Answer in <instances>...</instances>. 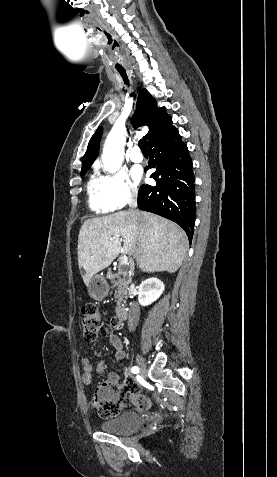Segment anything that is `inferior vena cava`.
Wrapping results in <instances>:
<instances>
[{"instance_id": "1", "label": "inferior vena cava", "mask_w": 277, "mask_h": 477, "mask_svg": "<svg viewBox=\"0 0 277 477\" xmlns=\"http://www.w3.org/2000/svg\"><path fill=\"white\" fill-rule=\"evenodd\" d=\"M130 212L133 216L138 215L137 208V193L132 192L129 200ZM139 308L136 305H133L128 316V329L129 331H134L139 322Z\"/></svg>"}]
</instances>
